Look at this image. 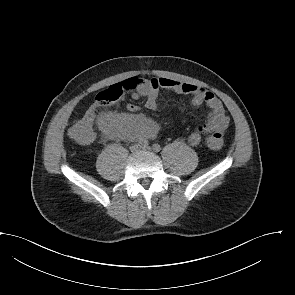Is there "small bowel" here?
Here are the masks:
<instances>
[{
	"label": "small bowel",
	"instance_id": "small-bowel-1",
	"mask_svg": "<svg viewBox=\"0 0 295 295\" xmlns=\"http://www.w3.org/2000/svg\"><path fill=\"white\" fill-rule=\"evenodd\" d=\"M138 86L132 97L137 100L146 97L145 107L155 110L158 107V97L161 89L191 96L192 107L206 105L209 109L207 119L200 124L188 137L192 146L201 143L204 136H217L222 138L229 126V117L225 112L220 99L211 91L202 87L177 81L170 78L159 77L151 79H137ZM128 113H106L99 119L101 129L110 137L124 140L152 137L156 133V126L152 120L142 114H136L140 107L136 104H127Z\"/></svg>",
	"mask_w": 295,
	"mask_h": 295
}]
</instances>
